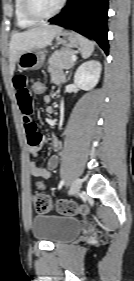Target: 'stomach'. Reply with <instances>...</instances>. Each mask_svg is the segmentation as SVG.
Listing matches in <instances>:
<instances>
[{
	"mask_svg": "<svg viewBox=\"0 0 134 281\" xmlns=\"http://www.w3.org/2000/svg\"><path fill=\"white\" fill-rule=\"evenodd\" d=\"M59 44L66 48H75L80 45V35L72 31L62 29L55 35ZM45 61V53L41 50L23 52L17 58L19 70H37L40 69Z\"/></svg>",
	"mask_w": 134,
	"mask_h": 281,
	"instance_id": "stomach-1",
	"label": "stomach"
}]
</instances>
